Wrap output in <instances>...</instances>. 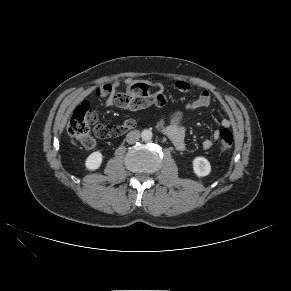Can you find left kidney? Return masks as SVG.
Masks as SVG:
<instances>
[{
  "label": "left kidney",
  "instance_id": "1",
  "mask_svg": "<svg viewBox=\"0 0 291 291\" xmlns=\"http://www.w3.org/2000/svg\"><path fill=\"white\" fill-rule=\"evenodd\" d=\"M193 171L198 177H204L210 174V162L204 157H196L193 160Z\"/></svg>",
  "mask_w": 291,
  "mask_h": 291
}]
</instances>
